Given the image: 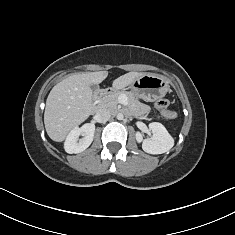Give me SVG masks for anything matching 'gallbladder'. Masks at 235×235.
I'll return each mask as SVG.
<instances>
[{"label": "gallbladder", "instance_id": "gallbladder-1", "mask_svg": "<svg viewBox=\"0 0 235 235\" xmlns=\"http://www.w3.org/2000/svg\"><path fill=\"white\" fill-rule=\"evenodd\" d=\"M90 87H91V89H92L93 91H96V90H97V88H98V86H97V85H94V84H93V85H91Z\"/></svg>", "mask_w": 235, "mask_h": 235}]
</instances>
